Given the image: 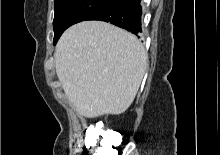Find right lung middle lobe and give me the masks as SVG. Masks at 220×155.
Masks as SVG:
<instances>
[{"label":"right lung middle lobe","instance_id":"right-lung-middle-lobe-1","mask_svg":"<svg viewBox=\"0 0 220 155\" xmlns=\"http://www.w3.org/2000/svg\"><path fill=\"white\" fill-rule=\"evenodd\" d=\"M121 0H55L53 20L54 44L71 25L87 20L90 16L107 9Z\"/></svg>","mask_w":220,"mask_h":155}]
</instances>
